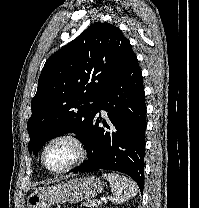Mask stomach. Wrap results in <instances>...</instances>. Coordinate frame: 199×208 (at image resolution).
<instances>
[{
    "instance_id": "0dacf381",
    "label": "stomach",
    "mask_w": 199,
    "mask_h": 208,
    "mask_svg": "<svg viewBox=\"0 0 199 208\" xmlns=\"http://www.w3.org/2000/svg\"><path fill=\"white\" fill-rule=\"evenodd\" d=\"M104 184L96 177L74 178L68 181L37 188L27 197L28 208H50L60 203L90 200L102 193Z\"/></svg>"
}]
</instances>
